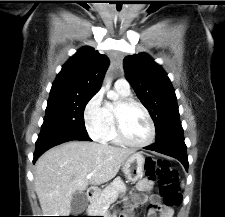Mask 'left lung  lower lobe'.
Wrapping results in <instances>:
<instances>
[{
	"label": "left lung lower lobe",
	"instance_id": "left-lung-lower-lobe-1",
	"mask_svg": "<svg viewBox=\"0 0 225 217\" xmlns=\"http://www.w3.org/2000/svg\"><path fill=\"white\" fill-rule=\"evenodd\" d=\"M145 149L174 157L183 164L186 171L188 170L187 147L184 143L183 131L156 141L154 144L145 147Z\"/></svg>",
	"mask_w": 225,
	"mask_h": 217
}]
</instances>
